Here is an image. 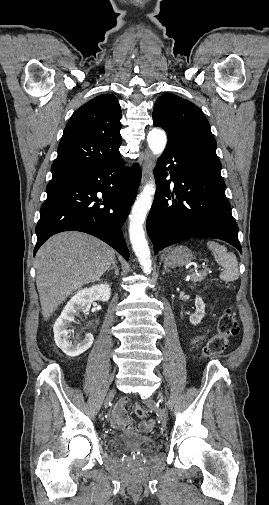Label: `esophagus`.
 <instances>
[{
    "label": "esophagus",
    "mask_w": 269,
    "mask_h": 505,
    "mask_svg": "<svg viewBox=\"0 0 269 505\" xmlns=\"http://www.w3.org/2000/svg\"><path fill=\"white\" fill-rule=\"evenodd\" d=\"M151 167H152L151 155L149 153H147L144 158L142 184H144L146 182V180L150 174Z\"/></svg>",
    "instance_id": "1"
}]
</instances>
